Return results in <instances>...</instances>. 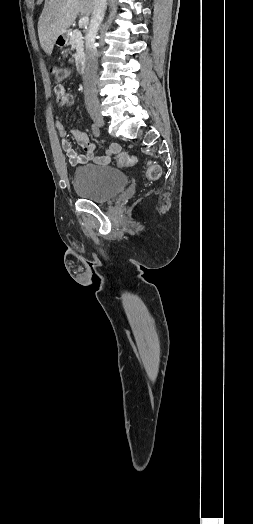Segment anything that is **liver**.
<instances>
[{"label":"liver","mask_w":253,"mask_h":524,"mask_svg":"<svg viewBox=\"0 0 253 524\" xmlns=\"http://www.w3.org/2000/svg\"><path fill=\"white\" fill-rule=\"evenodd\" d=\"M95 0H46L38 21V36L42 49L51 55L55 40L66 33L80 13H93Z\"/></svg>","instance_id":"liver-1"}]
</instances>
